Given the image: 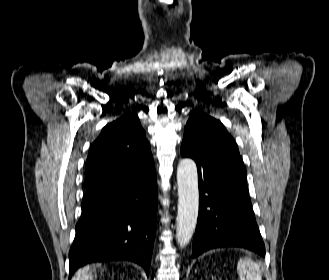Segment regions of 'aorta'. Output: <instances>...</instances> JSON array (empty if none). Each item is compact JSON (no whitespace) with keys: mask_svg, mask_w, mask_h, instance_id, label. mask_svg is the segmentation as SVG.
<instances>
[{"mask_svg":"<svg viewBox=\"0 0 329 280\" xmlns=\"http://www.w3.org/2000/svg\"><path fill=\"white\" fill-rule=\"evenodd\" d=\"M178 213L176 240L183 248L191 240L197 224L199 209L198 173L196 163L189 158L177 168Z\"/></svg>","mask_w":329,"mask_h":280,"instance_id":"aorta-1","label":"aorta"}]
</instances>
